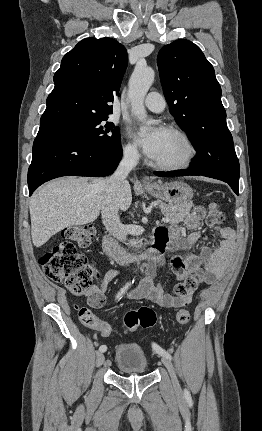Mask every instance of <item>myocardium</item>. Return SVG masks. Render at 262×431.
Segmentation results:
<instances>
[{
	"instance_id": "f54148a6",
	"label": "myocardium",
	"mask_w": 262,
	"mask_h": 431,
	"mask_svg": "<svg viewBox=\"0 0 262 431\" xmlns=\"http://www.w3.org/2000/svg\"><path fill=\"white\" fill-rule=\"evenodd\" d=\"M163 130L168 133L176 135L183 141L185 145V153L183 157L177 162L163 163V162L151 161V165L154 168L163 170V171H176V170H182V169L188 168L193 162L196 155V147L192 138L186 131H184L182 128L178 126L168 125V126H165Z\"/></svg>"
}]
</instances>
